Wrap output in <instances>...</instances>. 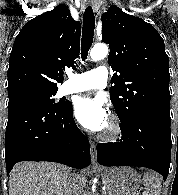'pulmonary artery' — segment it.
<instances>
[{
    "instance_id": "e3ab8cb5",
    "label": "pulmonary artery",
    "mask_w": 178,
    "mask_h": 195,
    "mask_svg": "<svg viewBox=\"0 0 178 195\" xmlns=\"http://www.w3.org/2000/svg\"><path fill=\"white\" fill-rule=\"evenodd\" d=\"M107 82L108 71L104 66L80 74L70 73L60 88V95L64 96L92 88L103 89L107 86Z\"/></svg>"
}]
</instances>
